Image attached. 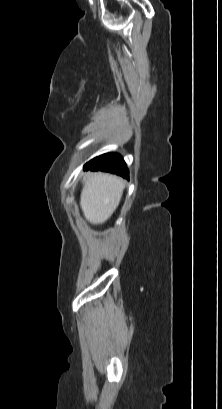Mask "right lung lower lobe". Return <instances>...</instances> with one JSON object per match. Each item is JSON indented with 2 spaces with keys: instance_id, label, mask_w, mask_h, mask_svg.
Wrapping results in <instances>:
<instances>
[{
  "instance_id": "right-lung-lower-lobe-1",
  "label": "right lung lower lobe",
  "mask_w": 222,
  "mask_h": 409,
  "mask_svg": "<svg viewBox=\"0 0 222 409\" xmlns=\"http://www.w3.org/2000/svg\"><path fill=\"white\" fill-rule=\"evenodd\" d=\"M85 170L91 171H106L124 178L129 177L127 166L123 158L116 153H107L95 157L84 165Z\"/></svg>"
}]
</instances>
